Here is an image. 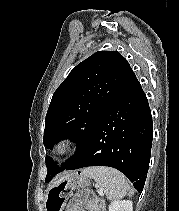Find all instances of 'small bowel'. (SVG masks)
Listing matches in <instances>:
<instances>
[{
	"mask_svg": "<svg viewBox=\"0 0 179 211\" xmlns=\"http://www.w3.org/2000/svg\"><path fill=\"white\" fill-rule=\"evenodd\" d=\"M90 201L92 203L90 211H103L102 203L96 199L93 193L88 189L77 192L73 199L68 203L65 211H86L83 204Z\"/></svg>",
	"mask_w": 179,
	"mask_h": 211,
	"instance_id": "1",
	"label": "small bowel"
}]
</instances>
